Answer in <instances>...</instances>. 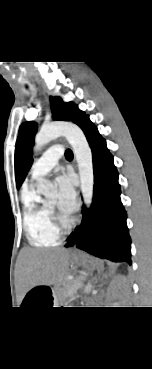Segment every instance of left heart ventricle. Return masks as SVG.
Wrapping results in <instances>:
<instances>
[{"label":"left heart ventricle","mask_w":152,"mask_h":369,"mask_svg":"<svg viewBox=\"0 0 152 369\" xmlns=\"http://www.w3.org/2000/svg\"><path fill=\"white\" fill-rule=\"evenodd\" d=\"M49 206L53 207L54 209H58L59 208V202L57 200V198L52 199L51 201H49L48 203ZM65 219H68L66 217H64Z\"/></svg>","instance_id":"left-heart-ventricle-1"}]
</instances>
